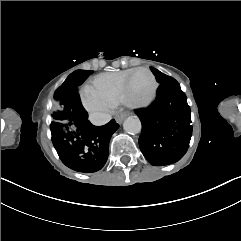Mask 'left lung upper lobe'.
<instances>
[{"label": "left lung upper lobe", "instance_id": "5c2ea615", "mask_svg": "<svg viewBox=\"0 0 241 241\" xmlns=\"http://www.w3.org/2000/svg\"><path fill=\"white\" fill-rule=\"evenodd\" d=\"M151 70H152L153 74L155 75L157 81H158L160 84L166 83V82H168V81H170V80H173L172 77L163 74L162 72H160L159 70H157V69H155V68H153V67H151Z\"/></svg>", "mask_w": 241, "mask_h": 241}]
</instances>
